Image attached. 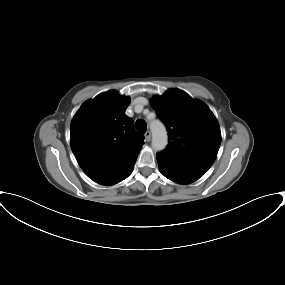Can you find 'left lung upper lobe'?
Here are the masks:
<instances>
[{
	"label": "left lung upper lobe",
	"mask_w": 285,
	"mask_h": 285,
	"mask_svg": "<svg viewBox=\"0 0 285 285\" xmlns=\"http://www.w3.org/2000/svg\"><path fill=\"white\" fill-rule=\"evenodd\" d=\"M150 104L168 130L169 143L162 153L208 170L221 143L220 127L209 107L179 89L154 97Z\"/></svg>",
	"instance_id": "5c2ea615"
}]
</instances>
